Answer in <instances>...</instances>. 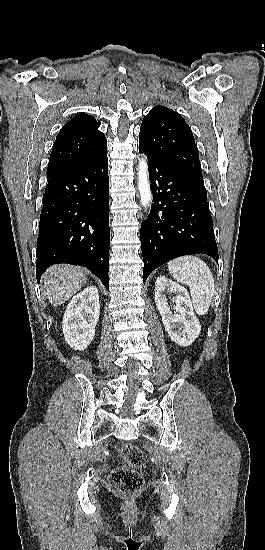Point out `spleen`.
I'll return each instance as SVG.
<instances>
[{
  "label": "spleen",
  "mask_w": 265,
  "mask_h": 550,
  "mask_svg": "<svg viewBox=\"0 0 265 550\" xmlns=\"http://www.w3.org/2000/svg\"><path fill=\"white\" fill-rule=\"evenodd\" d=\"M168 269L178 282L189 286L196 313H207L215 287L212 272L207 264L195 256H184L168 262Z\"/></svg>",
  "instance_id": "3e777b00"
}]
</instances>
